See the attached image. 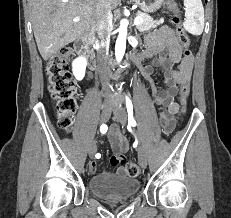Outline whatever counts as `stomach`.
<instances>
[{
  "instance_id": "0dacf381",
  "label": "stomach",
  "mask_w": 231,
  "mask_h": 218,
  "mask_svg": "<svg viewBox=\"0 0 231 218\" xmlns=\"http://www.w3.org/2000/svg\"><path fill=\"white\" fill-rule=\"evenodd\" d=\"M145 13H154L165 3V0H132Z\"/></svg>"
}]
</instances>
